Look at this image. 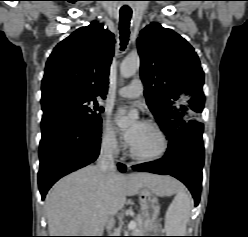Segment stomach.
<instances>
[{
  "instance_id": "0dacf381",
  "label": "stomach",
  "mask_w": 248,
  "mask_h": 237,
  "mask_svg": "<svg viewBox=\"0 0 248 237\" xmlns=\"http://www.w3.org/2000/svg\"><path fill=\"white\" fill-rule=\"evenodd\" d=\"M170 179L175 181L172 178ZM175 191H176L175 184L167 185L159 193H156L147 187L140 190L139 202H140L141 216L145 220L149 221V226L146 228L147 234H151L150 232H152L156 227L157 218L160 213L158 196L161 197L167 196Z\"/></svg>"
}]
</instances>
